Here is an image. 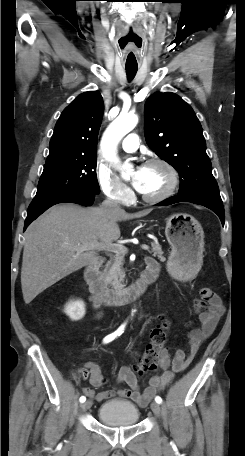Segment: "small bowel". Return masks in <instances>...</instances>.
Segmentation results:
<instances>
[{
	"label": "small bowel",
	"mask_w": 245,
	"mask_h": 456,
	"mask_svg": "<svg viewBox=\"0 0 245 456\" xmlns=\"http://www.w3.org/2000/svg\"><path fill=\"white\" fill-rule=\"evenodd\" d=\"M95 304L98 303L94 300ZM194 308L197 314L199 326L189 331L187 335L188 350L177 349L173 353L164 349L160 361L162 368H171L162 375H153L149 379V385L144 391H139V385L133 370L130 367H122L117 375L118 383H126L129 388H116L110 391L95 393L90 388H84L83 393L98 402L114 396L129 398L140 406H146L152 397L162 390L176 373L186 369L194 359L201 343L215 330L219 319L224 313V306L221 298L211 289L203 288L194 300ZM86 373L89 375L90 384L94 387H101L105 384L101 366L96 362H89L86 365Z\"/></svg>",
	"instance_id": "c3829d8e"
}]
</instances>
